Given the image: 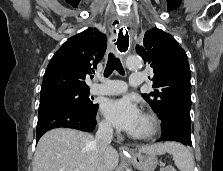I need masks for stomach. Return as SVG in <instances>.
<instances>
[{
	"label": "stomach",
	"mask_w": 223,
	"mask_h": 171,
	"mask_svg": "<svg viewBox=\"0 0 223 171\" xmlns=\"http://www.w3.org/2000/svg\"><path fill=\"white\" fill-rule=\"evenodd\" d=\"M132 162L140 171H154L158 164L156 155L147 153L143 154V152L140 151L133 154Z\"/></svg>",
	"instance_id": "1"
}]
</instances>
